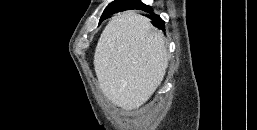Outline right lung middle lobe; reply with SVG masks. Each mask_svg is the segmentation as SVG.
I'll list each match as a JSON object with an SVG mask.
<instances>
[{
  "mask_svg": "<svg viewBox=\"0 0 257 130\" xmlns=\"http://www.w3.org/2000/svg\"><path fill=\"white\" fill-rule=\"evenodd\" d=\"M128 0H117L112 2L103 12L101 18H103L105 15L110 14L116 10H118L120 7L124 6L125 4L129 3Z\"/></svg>",
  "mask_w": 257,
  "mask_h": 130,
  "instance_id": "right-lung-middle-lobe-1",
  "label": "right lung middle lobe"
}]
</instances>
